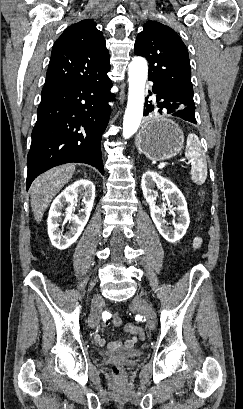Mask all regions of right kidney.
<instances>
[{
	"mask_svg": "<svg viewBox=\"0 0 243 409\" xmlns=\"http://www.w3.org/2000/svg\"><path fill=\"white\" fill-rule=\"evenodd\" d=\"M78 195L83 196L82 202L84 207L79 215H74L72 214V211L77 202ZM94 199L95 186L93 182L86 179L74 182L54 199L47 220L48 235L53 246L60 250H64L70 247L78 239L89 220ZM64 205H67L65 221L71 223L70 231L65 235L62 234L59 228V223L62 221L61 210Z\"/></svg>",
	"mask_w": 243,
	"mask_h": 409,
	"instance_id": "1",
	"label": "right kidney"
}]
</instances>
